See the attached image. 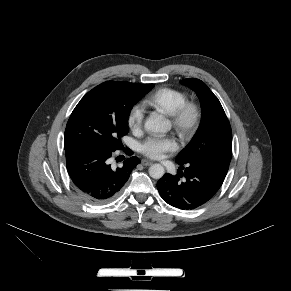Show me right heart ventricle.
I'll return each instance as SVG.
<instances>
[{
	"instance_id": "obj_1",
	"label": "right heart ventricle",
	"mask_w": 291,
	"mask_h": 291,
	"mask_svg": "<svg viewBox=\"0 0 291 291\" xmlns=\"http://www.w3.org/2000/svg\"><path fill=\"white\" fill-rule=\"evenodd\" d=\"M187 99L185 92L170 87H163L147 96L144 100V105L170 116Z\"/></svg>"
}]
</instances>
